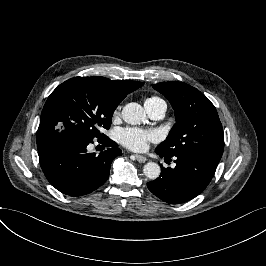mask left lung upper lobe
Segmentation results:
<instances>
[{
    "label": "left lung upper lobe",
    "mask_w": 266,
    "mask_h": 266,
    "mask_svg": "<svg viewBox=\"0 0 266 266\" xmlns=\"http://www.w3.org/2000/svg\"><path fill=\"white\" fill-rule=\"evenodd\" d=\"M152 86L169 100L176 120L156 150L169 157L197 152L220 160L224 151L223 129L211 101L183 82H161Z\"/></svg>",
    "instance_id": "5c2ea615"
}]
</instances>
